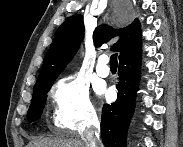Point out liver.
<instances>
[{
  "label": "liver",
  "mask_w": 183,
  "mask_h": 147,
  "mask_svg": "<svg viewBox=\"0 0 183 147\" xmlns=\"http://www.w3.org/2000/svg\"><path fill=\"white\" fill-rule=\"evenodd\" d=\"M28 147H86L85 143L78 139L42 138L28 144Z\"/></svg>",
  "instance_id": "1"
}]
</instances>
